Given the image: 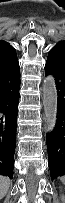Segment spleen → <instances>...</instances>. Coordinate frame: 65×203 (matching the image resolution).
Masks as SVG:
<instances>
[{
    "label": "spleen",
    "mask_w": 65,
    "mask_h": 203,
    "mask_svg": "<svg viewBox=\"0 0 65 203\" xmlns=\"http://www.w3.org/2000/svg\"><path fill=\"white\" fill-rule=\"evenodd\" d=\"M61 182H65V176L60 177Z\"/></svg>",
    "instance_id": "3e777b00"
}]
</instances>
